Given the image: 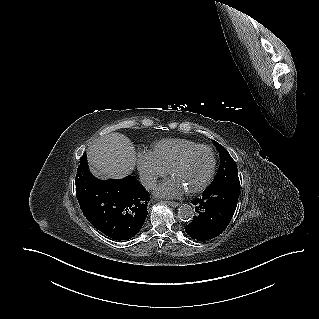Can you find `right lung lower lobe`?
<instances>
[{
	"label": "right lung lower lobe",
	"mask_w": 319,
	"mask_h": 319,
	"mask_svg": "<svg viewBox=\"0 0 319 319\" xmlns=\"http://www.w3.org/2000/svg\"><path fill=\"white\" fill-rule=\"evenodd\" d=\"M76 196L87 220L115 240L131 239L141 229L149 193L133 176L102 181L88 169L87 156L80 159L76 174Z\"/></svg>",
	"instance_id": "1"
}]
</instances>
